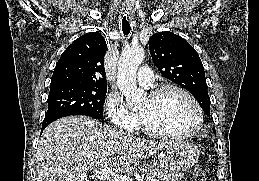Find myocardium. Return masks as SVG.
I'll return each instance as SVG.
<instances>
[{"label":"myocardium","instance_id":"f54148a6","mask_svg":"<svg viewBox=\"0 0 259 181\" xmlns=\"http://www.w3.org/2000/svg\"><path fill=\"white\" fill-rule=\"evenodd\" d=\"M168 91H177V92L183 94L191 102V104L193 105V107L196 111V115H197L196 125L194 126V128H192L191 130L186 131V132L162 131V130L152 127L149 124L147 118L142 113H139L140 121H141L144 131L152 136L161 137V138L184 139V138H189V137L196 135L203 126L204 114H203L202 107L200 106L197 99L187 89H185L184 87L177 85V84H164V85L159 86L156 89H154L149 94V98L152 100H156Z\"/></svg>","mask_w":259,"mask_h":181}]
</instances>
